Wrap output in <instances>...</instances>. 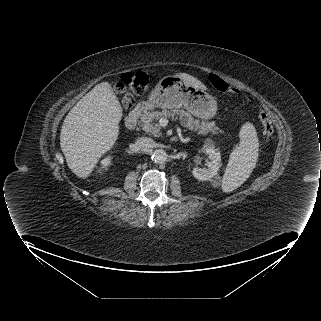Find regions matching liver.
Here are the masks:
<instances>
[{
	"instance_id": "6515ba94",
	"label": "liver",
	"mask_w": 321,
	"mask_h": 321,
	"mask_svg": "<svg viewBox=\"0 0 321 321\" xmlns=\"http://www.w3.org/2000/svg\"><path fill=\"white\" fill-rule=\"evenodd\" d=\"M187 84L205 89L195 77L178 73ZM122 107L107 82L97 84L70 110L60 134L66 163L80 178H87L119 135Z\"/></svg>"
}]
</instances>
